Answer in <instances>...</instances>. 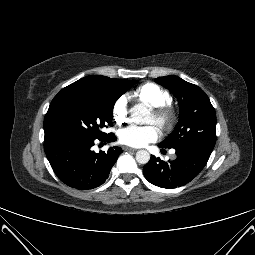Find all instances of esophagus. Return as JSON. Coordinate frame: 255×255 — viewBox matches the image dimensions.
I'll return each instance as SVG.
<instances>
[{"instance_id": "esophagus-1", "label": "esophagus", "mask_w": 255, "mask_h": 255, "mask_svg": "<svg viewBox=\"0 0 255 255\" xmlns=\"http://www.w3.org/2000/svg\"><path fill=\"white\" fill-rule=\"evenodd\" d=\"M123 150H124V151H133V152L136 151V149L131 148V147H128V146H124V147H123Z\"/></svg>"}]
</instances>
